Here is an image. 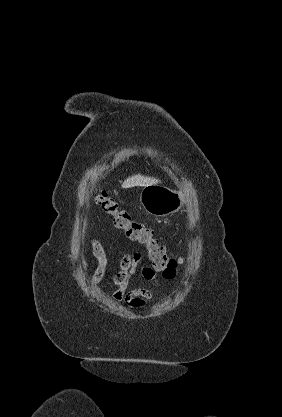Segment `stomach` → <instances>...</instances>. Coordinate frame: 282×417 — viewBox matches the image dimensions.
<instances>
[{
	"label": "stomach",
	"instance_id": "obj_1",
	"mask_svg": "<svg viewBox=\"0 0 282 417\" xmlns=\"http://www.w3.org/2000/svg\"><path fill=\"white\" fill-rule=\"evenodd\" d=\"M140 202L149 215L166 217L181 209L183 196L178 190H171L167 186L149 184V186H143L140 192Z\"/></svg>",
	"mask_w": 282,
	"mask_h": 417
}]
</instances>
